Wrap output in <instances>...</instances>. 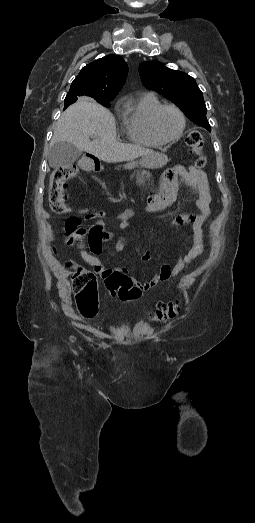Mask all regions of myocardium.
Returning <instances> with one entry per match:
<instances>
[{
    "instance_id": "1",
    "label": "myocardium",
    "mask_w": 255,
    "mask_h": 523,
    "mask_svg": "<svg viewBox=\"0 0 255 523\" xmlns=\"http://www.w3.org/2000/svg\"><path fill=\"white\" fill-rule=\"evenodd\" d=\"M166 108H172V109H174V110L178 113V115H179V117H180V119H181V127H180V131H179V133H178L175 137L170 138V139H165V138L161 137V136L159 135V133L157 132V129H156V119H157L159 113H160L162 110L166 109ZM185 127H186V117H185L183 111H182L178 106H176V105H174V104H161V105H159V106H158V107H157V108L152 112V114H151V116H150V119H149V128H150V132H151V134L153 135V137H155V138H156L158 141H160L161 143H171V142H175V141H177V140L180 139L181 136L183 135L184 130H185Z\"/></svg>"
}]
</instances>
